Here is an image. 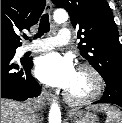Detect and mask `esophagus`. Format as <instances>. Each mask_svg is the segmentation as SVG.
Here are the masks:
<instances>
[{"label": "esophagus", "mask_w": 122, "mask_h": 123, "mask_svg": "<svg viewBox=\"0 0 122 123\" xmlns=\"http://www.w3.org/2000/svg\"><path fill=\"white\" fill-rule=\"evenodd\" d=\"M45 11L47 13H51V11H52V3L50 0H47V2H46ZM44 96L48 100V102H50V103L56 101V96L50 92L45 91Z\"/></svg>", "instance_id": "esophagus-1"}]
</instances>
